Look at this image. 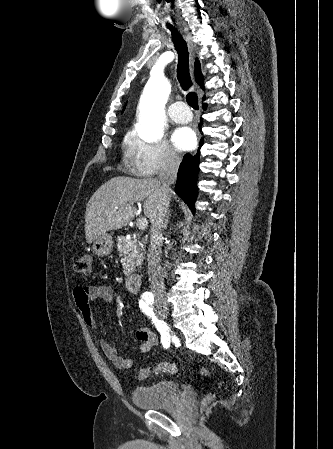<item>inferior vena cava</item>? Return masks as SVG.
I'll return each instance as SVG.
<instances>
[{
    "label": "inferior vena cava",
    "instance_id": "1",
    "mask_svg": "<svg viewBox=\"0 0 333 449\" xmlns=\"http://www.w3.org/2000/svg\"><path fill=\"white\" fill-rule=\"evenodd\" d=\"M179 165V157L175 154H171L168 157L162 173L159 175L161 195L157 206V213L152 223L150 245L147 254L148 274L151 284L150 288L155 296H162L165 293L163 269L160 264L162 254L161 245L163 240L162 232L165 224L164 221L166 213L169 207L171 193L170 185L177 179Z\"/></svg>",
    "mask_w": 333,
    "mask_h": 449
}]
</instances>
